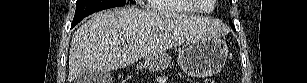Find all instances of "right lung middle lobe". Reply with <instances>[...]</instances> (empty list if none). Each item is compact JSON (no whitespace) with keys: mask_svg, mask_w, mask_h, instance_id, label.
Here are the masks:
<instances>
[{"mask_svg":"<svg viewBox=\"0 0 307 83\" xmlns=\"http://www.w3.org/2000/svg\"><path fill=\"white\" fill-rule=\"evenodd\" d=\"M125 4L126 0H77L72 27H74L81 19L94 12L112 7L124 6Z\"/></svg>","mask_w":307,"mask_h":83,"instance_id":"obj_1","label":"right lung middle lobe"}]
</instances>
